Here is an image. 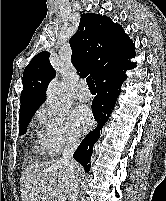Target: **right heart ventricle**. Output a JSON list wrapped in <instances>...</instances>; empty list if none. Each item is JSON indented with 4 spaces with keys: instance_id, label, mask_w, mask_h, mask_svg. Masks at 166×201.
<instances>
[{
    "instance_id": "1",
    "label": "right heart ventricle",
    "mask_w": 166,
    "mask_h": 201,
    "mask_svg": "<svg viewBox=\"0 0 166 201\" xmlns=\"http://www.w3.org/2000/svg\"><path fill=\"white\" fill-rule=\"evenodd\" d=\"M39 150L41 153H48L47 149L44 147V145L41 143L40 137H39Z\"/></svg>"
}]
</instances>
